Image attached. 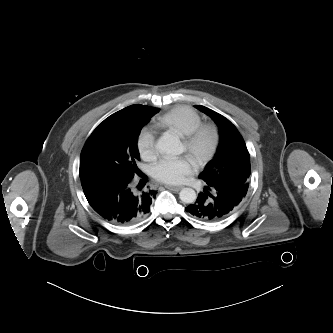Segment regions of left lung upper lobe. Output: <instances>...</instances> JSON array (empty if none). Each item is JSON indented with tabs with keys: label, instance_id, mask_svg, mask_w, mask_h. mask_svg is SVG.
<instances>
[{
	"label": "left lung upper lobe",
	"instance_id": "obj_1",
	"mask_svg": "<svg viewBox=\"0 0 333 333\" xmlns=\"http://www.w3.org/2000/svg\"><path fill=\"white\" fill-rule=\"evenodd\" d=\"M197 109L210 116L220 129V141L213 159L207 163L199 178L210 184L222 183L247 192L251 173L250 156L236 127L224 116L204 106Z\"/></svg>",
	"mask_w": 333,
	"mask_h": 333
}]
</instances>
